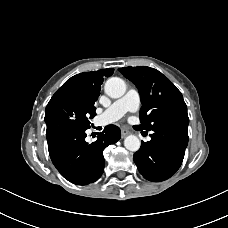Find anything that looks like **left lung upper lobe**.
I'll list each match as a JSON object with an SVG mask.
<instances>
[{"label": "left lung upper lobe", "instance_id": "1", "mask_svg": "<svg viewBox=\"0 0 228 228\" xmlns=\"http://www.w3.org/2000/svg\"><path fill=\"white\" fill-rule=\"evenodd\" d=\"M119 71L139 90L141 130L159 127L188 126L187 106L181 92L161 72L147 66L125 67Z\"/></svg>", "mask_w": 228, "mask_h": 228}]
</instances>
